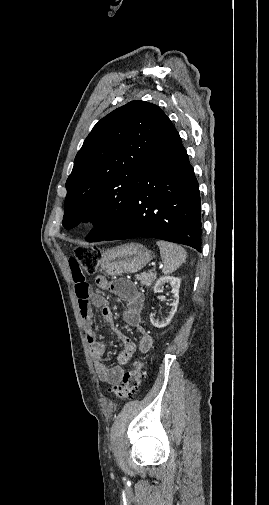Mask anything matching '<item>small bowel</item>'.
Here are the masks:
<instances>
[{
	"instance_id": "c3829d8e",
	"label": "small bowel",
	"mask_w": 269,
	"mask_h": 505,
	"mask_svg": "<svg viewBox=\"0 0 269 505\" xmlns=\"http://www.w3.org/2000/svg\"><path fill=\"white\" fill-rule=\"evenodd\" d=\"M68 267L72 271L75 282V292L78 298L80 313L97 375L99 379L106 384H118L126 373L128 362L137 350L136 345L121 331L114 328L113 313L106 299L100 295L91 294L89 284L86 280L93 279L96 276V271L94 274H84L80 268V262L77 259H71L68 262ZM96 284L100 288L109 290L126 302L123 319L129 326L137 329L141 333L138 351L140 353L148 352L153 345V338L142 326L141 313L144 306V296L142 293L126 279L108 282L103 276H98L96 278ZM90 301H92L95 307L101 309L104 321L111 327L123 347L118 357V363L114 367H109L102 359L106 351V346L98 339L97 333L93 327V311Z\"/></svg>"
}]
</instances>
